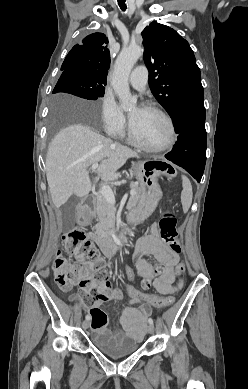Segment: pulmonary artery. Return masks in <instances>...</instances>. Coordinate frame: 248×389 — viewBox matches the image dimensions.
I'll return each mask as SVG.
<instances>
[{"label": "pulmonary artery", "mask_w": 248, "mask_h": 389, "mask_svg": "<svg viewBox=\"0 0 248 389\" xmlns=\"http://www.w3.org/2000/svg\"><path fill=\"white\" fill-rule=\"evenodd\" d=\"M148 70L145 66L136 67L129 76L131 85L138 90H144L147 84Z\"/></svg>", "instance_id": "pulmonary-artery-1"}]
</instances>
